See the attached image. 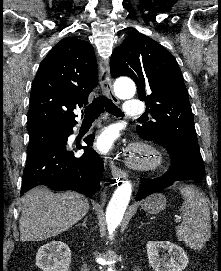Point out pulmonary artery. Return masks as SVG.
<instances>
[{
	"label": "pulmonary artery",
	"mask_w": 221,
	"mask_h": 271,
	"mask_svg": "<svg viewBox=\"0 0 221 271\" xmlns=\"http://www.w3.org/2000/svg\"><path fill=\"white\" fill-rule=\"evenodd\" d=\"M132 102H128L125 107L124 117H137V112H145L146 111V102H136L137 100L133 98Z\"/></svg>",
	"instance_id": "e3ab8cb5"
}]
</instances>
